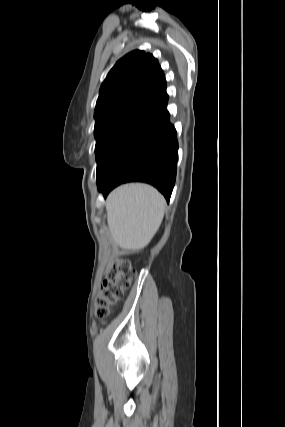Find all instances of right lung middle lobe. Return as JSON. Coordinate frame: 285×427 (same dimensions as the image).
Instances as JSON below:
<instances>
[{
	"mask_svg": "<svg viewBox=\"0 0 285 427\" xmlns=\"http://www.w3.org/2000/svg\"><path fill=\"white\" fill-rule=\"evenodd\" d=\"M144 112H118L95 123L97 175L111 162L121 143L135 127Z\"/></svg>",
	"mask_w": 285,
	"mask_h": 427,
	"instance_id": "dd1d6c3e",
	"label": "right lung middle lobe"
}]
</instances>
